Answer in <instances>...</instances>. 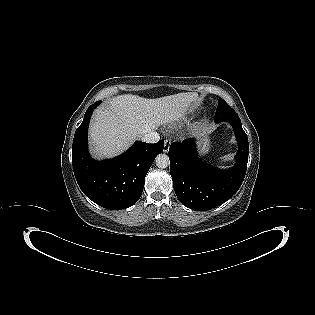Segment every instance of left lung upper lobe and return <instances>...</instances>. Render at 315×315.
Here are the masks:
<instances>
[{
  "instance_id": "obj_1",
  "label": "left lung upper lobe",
  "mask_w": 315,
  "mask_h": 315,
  "mask_svg": "<svg viewBox=\"0 0 315 315\" xmlns=\"http://www.w3.org/2000/svg\"><path fill=\"white\" fill-rule=\"evenodd\" d=\"M214 121L219 122H233L240 121V118L236 112L222 99L219 97L218 107L215 114Z\"/></svg>"
}]
</instances>
